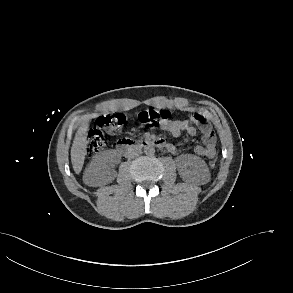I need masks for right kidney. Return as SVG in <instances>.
<instances>
[{
  "label": "right kidney",
  "instance_id": "obj_1",
  "mask_svg": "<svg viewBox=\"0 0 293 293\" xmlns=\"http://www.w3.org/2000/svg\"><path fill=\"white\" fill-rule=\"evenodd\" d=\"M108 161L105 155L95 156L85 170L84 183L88 186L98 187L112 182L116 172L109 167Z\"/></svg>",
  "mask_w": 293,
  "mask_h": 293
}]
</instances>
